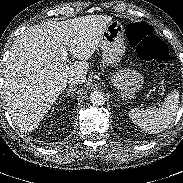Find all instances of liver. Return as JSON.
<instances>
[{"label":"liver","instance_id":"6515ba94","mask_svg":"<svg viewBox=\"0 0 183 183\" xmlns=\"http://www.w3.org/2000/svg\"><path fill=\"white\" fill-rule=\"evenodd\" d=\"M108 15H86L65 21H46L18 36L5 65L3 95L12 120L24 132L36 129L67 85L72 74L82 76L99 46ZM65 46L73 63L60 62ZM82 82V83H83Z\"/></svg>","mask_w":183,"mask_h":183}]
</instances>
